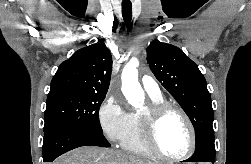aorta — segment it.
I'll use <instances>...</instances> for the list:
<instances>
[{"instance_id": "obj_1", "label": "aorta", "mask_w": 251, "mask_h": 164, "mask_svg": "<svg viewBox=\"0 0 251 164\" xmlns=\"http://www.w3.org/2000/svg\"><path fill=\"white\" fill-rule=\"evenodd\" d=\"M139 61L132 58L122 71V92L128 103L136 108L142 107L144 103V91L138 82Z\"/></svg>"}]
</instances>
